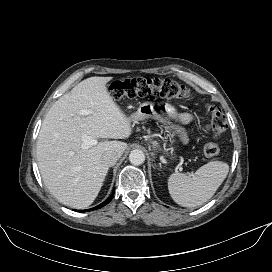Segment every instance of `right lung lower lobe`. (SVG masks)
I'll return each instance as SVG.
<instances>
[{
  "instance_id": "98d812e1",
  "label": "right lung lower lobe",
  "mask_w": 272,
  "mask_h": 272,
  "mask_svg": "<svg viewBox=\"0 0 272 272\" xmlns=\"http://www.w3.org/2000/svg\"><path fill=\"white\" fill-rule=\"evenodd\" d=\"M114 192H115V190L113 189L112 195L106 201H104L103 203H101L100 205H98V206H96L94 208L88 209V210H79V212H85V211H90V210H94V209H99V208L105 206L106 204H108L112 200V198L114 196Z\"/></svg>"
}]
</instances>
